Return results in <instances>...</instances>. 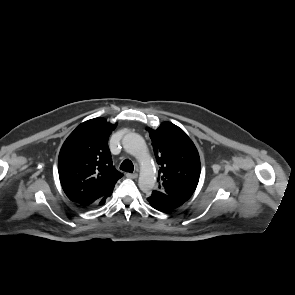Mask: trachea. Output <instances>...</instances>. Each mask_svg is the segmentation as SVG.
I'll return each instance as SVG.
<instances>
[{"instance_id":"1","label":"trachea","mask_w":295,"mask_h":295,"mask_svg":"<svg viewBox=\"0 0 295 295\" xmlns=\"http://www.w3.org/2000/svg\"><path fill=\"white\" fill-rule=\"evenodd\" d=\"M120 169L129 173H132L134 170V165L129 159H125L121 165Z\"/></svg>"}]
</instances>
